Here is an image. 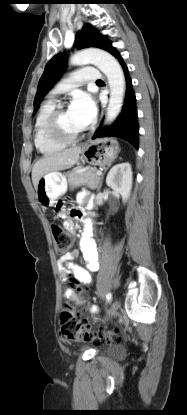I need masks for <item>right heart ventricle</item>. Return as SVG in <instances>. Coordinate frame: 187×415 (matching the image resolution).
<instances>
[{"instance_id":"right-heart-ventricle-1","label":"right heart ventricle","mask_w":187,"mask_h":415,"mask_svg":"<svg viewBox=\"0 0 187 415\" xmlns=\"http://www.w3.org/2000/svg\"><path fill=\"white\" fill-rule=\"evenodd\" d=\"M55 108L52 100L45 101L36 116L34 125V143L40 153L51 155L60 152L66 145L52 140L46 130V123L50 113Z\"/></svg>"}]
</instances>
